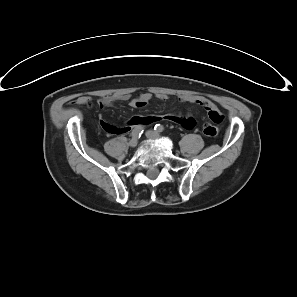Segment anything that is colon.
<instances>
[{
    "label": "colon",
    "mask_w": 297,
    "mask_h": 297,
    "mask_svg": "<svg viewBox=\"0 0 297 297\" xmlns=\"http://www.w3.org/2000/svg\"><path fill=\"white\" fill-rule=\"evenodd\" d=\"M210 119L215 123V124H219L222 122L223 120V116L222 115H218V114H213L210 116ZM203 133L208 136V137H216L218 134V128L214 125H206L204 127Z\"/></svg>",
    "instance_id": "obj_1"
}]
</instances>
